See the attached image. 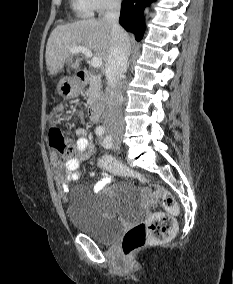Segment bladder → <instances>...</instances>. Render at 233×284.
Wrapping results in <instances>:
<instances>
[{
	"label": "bladder",
	"mask_w": 233,
	"mask_h": 284,
	"mask_svg": "<svg viewBox=\"0 0 233 284\" xmlns=\"http://www.w3.org/2000/svg\"><path fill=\"white\" fill-rule=\"evenodd\" d=\"M137 188L128 181H119L103 193V204L132 206L138 199ZM67 216L77 231L89 236L98 243H111L122 228L121 221L104 215L93 195L82 187L74 188L68 197Z\"/></svg>",
	"instance_id": "bladder-1"
}]
</instances>
